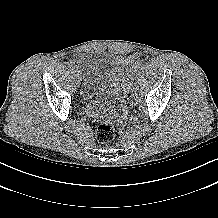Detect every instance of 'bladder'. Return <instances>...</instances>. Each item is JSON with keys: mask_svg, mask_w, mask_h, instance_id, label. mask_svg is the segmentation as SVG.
<instances>
[{"mask_svg": "<svg viewBox=\"0 0 218 218\" xmlns=\"http://www.w3.org/2000/svg\"><path fill=\"white\" fill-rule=\"evenodd\" d=\"M75 62L81 80L80 100L85 109L103 114L113 111V103L120 98L123 83L132 71L130 61L80 52Z\"/></svg>", "mask_w": 218, "mask_h": 218, "instance_id": "1", "label": "bladder"}]
</instances>
